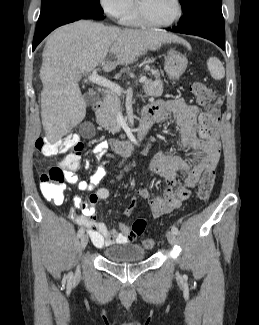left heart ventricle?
I'll return each mask as SVG.
<instances>
[{"label": "left heart ventricle", "instance_id": "1", "mask_svg": "<svg viewBox=\"0 0 259 325\" xmlns=\"http://www.w3.org/2000/svg\"><path fill=\"white\" fill-rule=\"evenodd\" d=\"M146 16L156 22L169 21L176 12L174 0H140Z\"/></svg>", "mask_w": 259, "mask_h": 325}]
</instances>
